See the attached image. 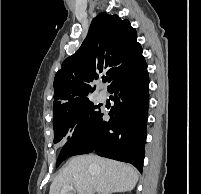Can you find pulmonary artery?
Returning a JSON list of instances; mask_svg holds the SVG:
<instances>
[{"mask_svg": "<svg viewBox=\"0 0 201 194\" xmlns=\"http://www.w3.org/2000/svg\"><path fill=\"white\" fill-rule=\"evenodd\" d=\"M106 98H107V94H106L105 91H102V92L99 93V95H98V100H99L100 102H104V101L106 100Z\"/></svg>", "mask_w": 201, "mask_h": 194, "instance_id": "pulmonary-artery-1", "label": "pulmonary artery"}]
</instances>
